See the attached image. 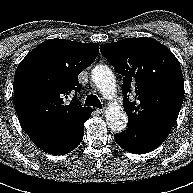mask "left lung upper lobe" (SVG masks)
Here are the masks:
<instances>
[{
  "instance_id": "5c2ea615",
  "label": "left lung upper lobe",
  "mask_w": 193,
  "mask_h": 193,
  "mask_svg": "<svg viewBox=\"0 0 193 193\" xmlns=\"http://www.w3.org/2000/svg\"><path fill=\"white\" fill-rule=\"evenodd\" d=\"M100 51L124 76L122 94L128 125L176 122L184 80L179 61L167 47L140 37L102 44Z\"/></svg>"
}]
</instances>
